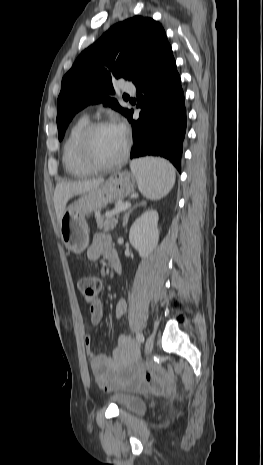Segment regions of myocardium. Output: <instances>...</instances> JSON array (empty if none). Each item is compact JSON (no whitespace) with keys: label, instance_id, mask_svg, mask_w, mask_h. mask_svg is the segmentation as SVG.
Instances as JSON below:
<instances>
[{"label":"myocardium","instance_id":"obj_1","mask_svg":"<svg viewBox=\"0 0 263 465\" xmlns=\"http://www.w3.org/2000/svg\"><path fill=\"white\" fill-rule=\"evenodd\" d=\"M116 126L111 121L99 120L89 123L81 132L78 140V155L81 162L92 171H106L113 169L124 162L126 159L129 149H130V140L126 136L125 144L121 154L111 162L101 163L98 162L92 154L91 141L93 135L102 128Z\"/></svg>","mask_w":263,"mask_h":465}]
</instances>
